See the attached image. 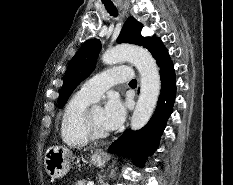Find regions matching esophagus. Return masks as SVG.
Segmentation results:
<instances>
[{
  "mask_svg": "<svg viewBox=\"0 0 233 185\" xmlns=\"http://www.w3.org/2000/svg\"><path fill=\"white\" fill-rule=\"evenodd\" d=\"M120 10H121V12H122V15L124 16L126 12H125V10H124V8H123L122 5H120Z\"/></svg>",
  "mask_w": 233,
  "mask_h": 185,
  "instance_id": "34e87169",
  "label": "esophagus"
}]
</instances>
